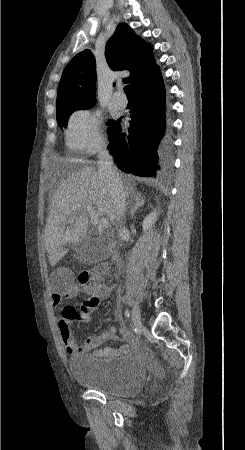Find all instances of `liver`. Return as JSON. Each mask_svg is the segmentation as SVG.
<instances>
[{"label": "liver", "instance_id": "1", "mask_svg": "<svg viewBox=\"0 0 245 450\" xmlns=\"http://www.w3.org/2000/svg\"><path fill=\"white\" fill-rule=\"evenodd\" d=\"M132 191L134 187L128 184L126 195ZM86 207H91L98 216H107L113 225L119 224L120 217L106 183L89 166L69 172L53 194L43 235L51 266L68 252L65 248L68 243H77L86 236ZM69 219L75 221L66 227Z\"/></svg>", "mask_w": 245, "mask_h": 450}]
</instances>
